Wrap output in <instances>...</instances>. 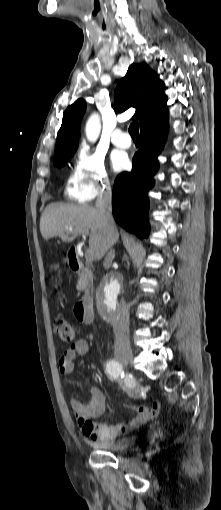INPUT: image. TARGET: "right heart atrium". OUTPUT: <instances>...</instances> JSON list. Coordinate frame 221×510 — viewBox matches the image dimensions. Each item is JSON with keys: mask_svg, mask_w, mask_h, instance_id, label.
<instances>
[{"mask_svg": "<svg viewBox=\"0 0 221 510\" xmlns=\"http://www.w3.org/2000/svg\"><path fill=\"white\" fill-rule=\"evenodd\" d=\"M111 188L101 154L81 147L66 180V193L74 201L89 202Z\"/></svg>", "mask_w": 221, "mask_h": 510, "instance_id": "1", "label": "right heart atrium"}]
</instances>
